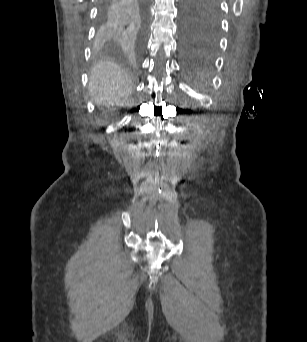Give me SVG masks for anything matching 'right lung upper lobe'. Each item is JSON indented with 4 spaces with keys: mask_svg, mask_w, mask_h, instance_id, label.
<instances>
[{
    "mask_svg": "<svg viewBox=\"0 0 307 342\" xmlns=\"http://www.w3.org/2000/svg\"><path fill=\"white\" fill-rule=\"evenodd\" d=\"M104 15L108 20L107 32H114L121 24L130 22L134 28L142 25L146 0H106L103 3Z\"/></svg>",
    "mask_w": 307,
    "mask_h": 342,
    "instance_id": "obj_1",
    "label": "right lung upper lobe"
}]
</instances>
